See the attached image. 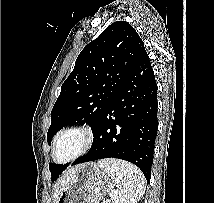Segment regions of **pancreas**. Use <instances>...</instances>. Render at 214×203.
Here are the masks:
<instances>
[{
	"label": "pancreas",
	"instance_id": "cf45deb5",
	"mask_svg": "<svg viewBox=\"0 0 214 203\" xmlns=\"http://www.w3.org/2000/svg\"><path fill=\"white\" fill-rule=\"evenodd\" d=\"M106 203H115V202H109V201H107Z\"/></svg>",
	"mask_w": 214,
	"mask_h": 203
}]
</instances>
